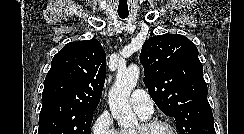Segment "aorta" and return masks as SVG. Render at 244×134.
<instances>
[{
    "label": "aorta",
    "instance_id": "obj_1",
    "mask_svg": "<svg viewBox=\"0 0 244 134\" xmlns=\"http://www.w3.org/2000/svg\"><path fill=\"white\" fill-rule=\"evenodd\" d=\"M140 68L132 64L126 69H119L116 81L109 91V107L114 119L120 127L128 128L136 123V116L133 113L129 97L139 79Z\"/></svg>",
    "mask_w": 244,
    "mask_h": 134
}]
</instances>
